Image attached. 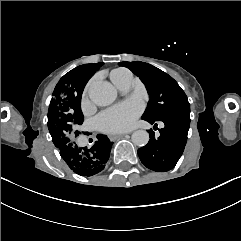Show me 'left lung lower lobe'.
I'll use <instances>...</instances> for the list:
<instances>
[{"label":"left lung lower lobe","instance_id":"left-lung-lower-lobe-1","mask_svg":"<svg viewBox=\"0 0 241 241\" xmlns=\"http://www.w3.org/2000/svg\"><path fill=\"white\" fill-rule=\"evenodd\" d=\"M157 121L165 125L160 130V136L156 139L150 130V140L146 146L138 149V155L147 168L165 172L177 164L184 151L190 125V107L148 122L154 124Z\"/></svg>","mask_w":241,"mask_h":241}]
</instances>
